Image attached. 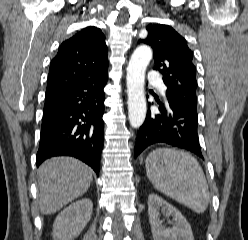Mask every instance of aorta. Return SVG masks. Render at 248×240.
Returning a JSON list of instances; mask_svg holds the SVG:
<instances>
[{
    "label": "aorta",
    "instance_id": "aorta-1",
    "mask_svg": "<svg viewBox=\"0 0 248 240\" xmlns=\"http://www.w3.org/2000/svg\"><path fill=\"white\" fill-rule=\"evenodd\" d=\"M152 59L148 46L138 47L127 67L128 118L133 128H139L146 117L145 72Z\"/></svg>",
    "mask_w": 248,
    "mask_h": 240
}]
</instances>
